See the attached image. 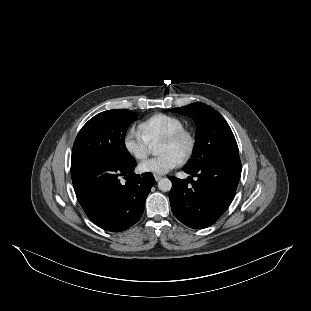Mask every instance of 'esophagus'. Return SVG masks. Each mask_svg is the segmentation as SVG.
<instances>
[{"instance_id":"esophagus-1","label":"esophagus","mask_w":311,"mask_h":311,"mask_svg":"<svg viewBox=\"0 0 311 311\" xmlns=\"http://www.w3.org/2000/svg\"><path fill=\"white\" fill-rule=\"evenodd\" d=\"M154 179L157 182V181H159L161 179V176L158 175V174H154Z\"/></svg>"}]
</instances>
